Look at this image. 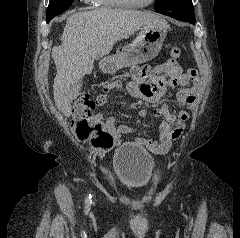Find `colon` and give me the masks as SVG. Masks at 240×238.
<instances>
[{
	"instance_id": "1",
	"label": "colon",
	"mask_w": 240,
	"mask_h": 238,
	"mask_svg": "<svg viewBox=\"0 0 240 238\" xmlns=\"http://www.w3.org/2000/svg\"><path fill=\"white\" fill-rule=\"evenodd\" d=\"M169 53L172 58H178L181 50L177 46H170ZM94 108L95 103L87 90L76 95L72 102L71 125L80 139L89 141L91 152L99 155L112 144L113 138L101 122L91 120Z\"/></svg>"
}]
</instances>
